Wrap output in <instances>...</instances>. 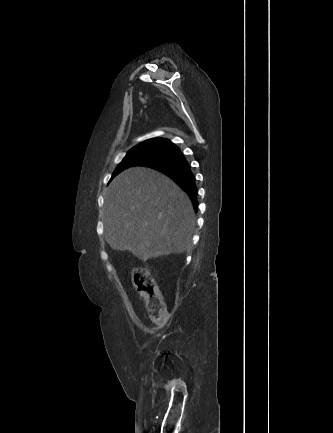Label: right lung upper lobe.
<instances>
[{"mask_svg": "<svg viewBox=\"0 0 333 433\" xmlns=\"http://www.w3.org/2000/svg\"><path fill=\"white\" fill-rule=\"evenodd\" d=\"M153 140H157V141H169V140H166V139H151V140H147V141H153ZM147 141H145V142H147Z\"/></svg>", "mask_w": 333, "mask_h": 433, "instance_id": "cb5924a9", "label": "right lung upper lobe"}]
</instances>
